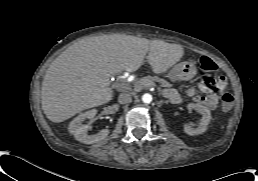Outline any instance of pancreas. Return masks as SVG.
I'll return each mask as SVG.
<instances>
[{
    "mask_svg": "<svg viewBox=\"0 0 258 181\" xmlns=\"http://www.w3.org/2000/svg\"><path fill=\"white\" fill-rule=\"evenodd\" d=\"M154 82H158L162 87H170L171 86V84L164 79L152 78V77H144L141 79H137L133 82V84L135 87H137L138 85L148 86V85L153 84Z\"/></svg>",
    "mask_w": 258,
    "mask_h": 181,
    "instance_id": "obj_1",
    "label": "pancreas"
}]
</instances>
